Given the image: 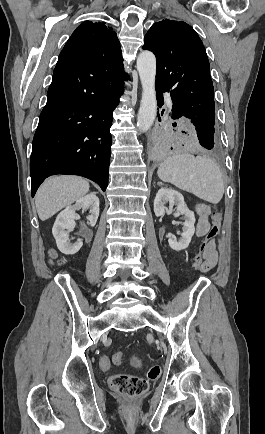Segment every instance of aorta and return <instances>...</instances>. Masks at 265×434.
I'll return each mask as SVG.
<instances>
[{
  "label": "aorta",
  "instance_id": "1",
  "mask_svg": "<svg viewBox=\"0 0 265 434\" xmlns=\"http://www.w3.org/2000/svg\"><path fill=\"white\" fill-rule=\"evenodd\" d=\"M137 70L142 84V98L137 116L139 132L150 130L157 112L155 92L156 58L152 52H140L137 58Z\"/></svg>",
  "mask_w": 265,
  "mask_h": 434
}]
</instances>
